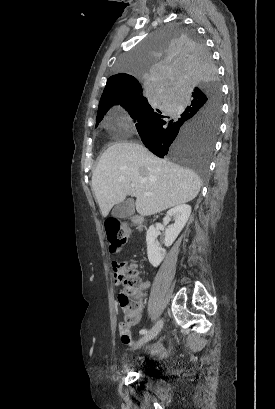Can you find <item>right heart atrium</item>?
<instances>
[{"label": "right heart atrium", "mask_w": 275, "mask_h": 409, "mask_svg": "<svg viewBox=\"0 0 275 409\" xmlns=\"http://www.w3.org/2000/svg\"><path fill=\"white\" fill-rule=\"evenodd\" d=\"M121 119H122V121H123L124 123H129V122H130V118H129V116H127L126 114H124Z\"/></svg>", "instance_id": "d8ad5b80"}]
</instances>
